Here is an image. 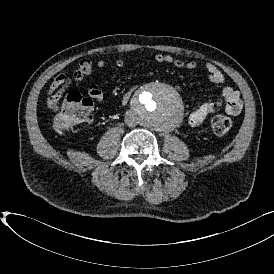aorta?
I'll use <instances>...</instances> for the list:
<instances>
[{
    "instance_id": "obj_1",
    "label": "aorta",
    "mask_w": 274,
    "mask_h": 274,
    "mask_svg": "<svg viewBox=\"0 0 274 274\" xmlns=\"http://www.w3.org/2000/svg\"><path fill=\"white\" fill-rule=\"evenodd\" d=\"M132 107L140 125L157 131L172 129L183 116L178 92L160 82L147 84L134 98Z\"/></svg>"
}]
</instances>
